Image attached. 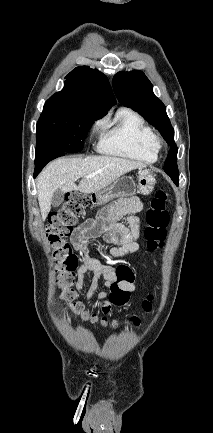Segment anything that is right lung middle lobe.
<instances>
[{
  "mask_svg": "<svg viewBox=\"0 0 213 433\" xmlns=\"http://www.w3.org/2000/svg\"><path fill=\"white\" fill-rule=\"evenodd\" d=\"M96 117L80 109L45 104L36 125V151L79 152Z\"/></svg>",
  "mask_w": 213,
  "mask_h": 433,
  "instance_id": "1",
  "label": "right lung middle lobe"
}]
</instances>
